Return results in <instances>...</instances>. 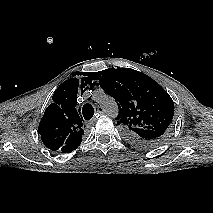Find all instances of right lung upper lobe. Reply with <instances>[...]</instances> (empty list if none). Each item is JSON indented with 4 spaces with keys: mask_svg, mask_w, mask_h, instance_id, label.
I'll return each instance as SVG.
<instances>
[{
    "mask_svg": "<svg viewBox=\"0 0 213 213\" xmlns=\"http://www.w3.org/2000/svg\"><path fill=\"white\" fill-rule=\"evenodd\" d=\"M90 79V81H88ZM93 78H71L61 84L53 94V103L48 106L40 121L38 132L44 145L52 151L71 152L82 141L84 134L79 111L76 110L77 93L81 94L92 84ZM85 81V82H84Z\"/></svg>",
    "mask_w": 213,
    "mask_h": 213,
    "instance_id": "cb5924a9",
    "label": "right lung upper lobe"
}]
</instances>
